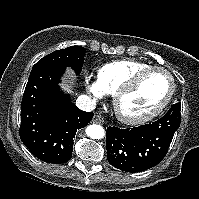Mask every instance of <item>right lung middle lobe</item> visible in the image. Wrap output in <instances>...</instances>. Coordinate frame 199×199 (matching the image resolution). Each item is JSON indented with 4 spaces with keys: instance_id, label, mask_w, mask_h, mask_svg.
Here are the masks:
<instances>
[{
    "instance_id": "right-lung-middle-lobe-1",
    "label": "right lung middle lobe",
    "mask_w": 199,
    "mask_h": 199,
    "mask_svg": "<svg viewBox=\"0 0 199 199\" xmlns=\"http://www.w3.org/2000/svg\"><path fill=\"white\" fill-rule=\"evenodd\" d=\"M85 52V49L81 46H71L54 51L40 59L32 70L48 66H64L71 67L78 75L82 70Z\"/></svg>"
}]
</instances>
